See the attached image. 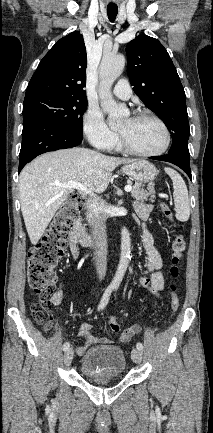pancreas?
Segmentation results:
<instances>
[{"label": "pancreas", "instance_id": "cf45deb5", "mask_svg": "<svg viewBox=\"0 0 213 433\" xmlns=\"http://www.w3.org/2000/svg\"><path fill=\"white\" fill-rule=\"evenodd\" d=\"M155 190L154 184L151 183L148 185L147 190H145L141 184L135 183L132 187L131 195L134 199L138 201H151L154 202L155 199Z\"/></svg>", "mask_w": 213, "mask_h": 433}]
</instances>
